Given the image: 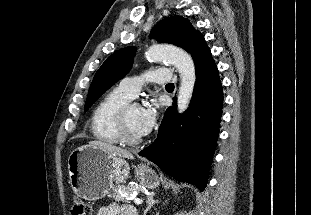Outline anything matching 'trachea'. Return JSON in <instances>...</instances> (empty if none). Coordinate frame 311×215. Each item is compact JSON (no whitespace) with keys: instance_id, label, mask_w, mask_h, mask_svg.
Returning a JSON list of instances; mask_svg holds the SVG:
<instances>
[{"instance_id":"3493384b","label":"trachea","mask_w":311,"mask_h":215,"mask_svg":"<svg viewBox=\"0 0 311 215\" xmlns=\"http://www.w3.org/2000/svg\"><path fill=\"white\" fill-rule=\"evenodd\" d=\"M166 87H174V84L173 83H169L166 85Z\"/></svg>"}]
</instances>
